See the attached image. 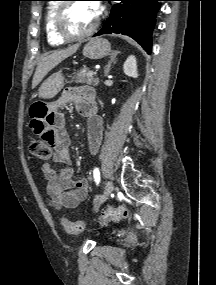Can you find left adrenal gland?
Listing matches in <instances>:
<instances>
[{
	"mask_svg": "<svg viewBox=\"0 0 216 285\" xmlns=\"http://www.w3.org/2000/svg\"><path fill=\"white\" fill-rule=\"evenodd\" d=\"M118 54H119V51H113L110 54V60H109L108 64L105 66V70H104L105 76H107L109 74L110 67H111L112 63L115 61Z\"/></svg>",
	"mask_w": 216,
	"mask_h": 285,
	"instance_id": "1",
	"label": "left adrenal gland"
}]
</instances>
